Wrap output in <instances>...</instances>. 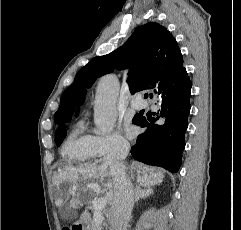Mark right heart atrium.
Wrapping results in <instances>:
<instances>
[{"label": "right heart atrium", "instance_id": "1", "mask_svg": "<svg viewBox=\"0 0 241 230\" xmlns=\"http://www.w3.org/2000/svg\"><path fill=\"white\" fill-rule=\"evenodd\" d=\"M93 146L98 156L120 157L127 153L128 141L119 133L92 136Z\"/></svg>", "mask_w": 241, "mask_h": 230}]
</instances>
